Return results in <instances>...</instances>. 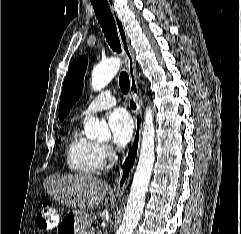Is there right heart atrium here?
Instances as JSON below:
<instances>
[{
    "mask_svg": "<svg viewBox=\"0 0 241 234\" xmlns=\"http://www.w3.org/2000/svg\"><path fill=\"white\" fill-rule=\"evenodd\" d=\"M101 154H102L103 160L104 161L107 160L111 155L110 148L107 145H102L101 146Z\"/></svg>",
    "mask_w": 241,
    "mask_h": 234,
    "instance_id": "1",
    "label": "right heart atrium"
}]
</instances>
